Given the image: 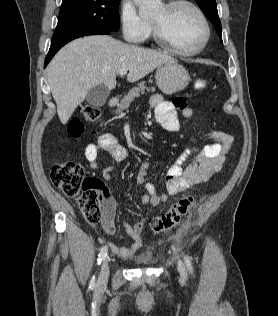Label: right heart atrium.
Returning a JSON list of instances; mask_svg holds the SVG:
<instances>
[{
  "label": "right heart atrium",
  "mask_w": 278,
  "mask_h": 316,
  "mask_svg": "<svg viewBox=\"0 0 278 316\" xmlns=\"http://www.w3.org/2000/svg\"><path fill=\"white\" fill-rule=\"evenodd\" d=\"M119 22L122 35L128 42L140 43L148 36L150 25L138 14L131 0H122Z\"/></svg>",
  "instance_id": "obj_1"
}]
</instances>
